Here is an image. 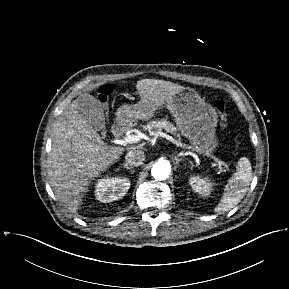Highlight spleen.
I'll list each match as a JSON object with an SVG mask.
<instances>
[{
	"instance_id": "obj_1",
	"label": "spleen",
	"mask_w": 289,
	"mask_h": 289,
	"mask_svg": "<svg viewBox=\"0 0 289 289\" xmlns=\"http://www.w3.org/2000/svg\"><path fill=\"white\" fill-rule=\"evenodd\" d=\"M252 180V168L250 161L242 157L238 161L236 172L228 180L223 196L214 209L217 213H223L234 208L245 196Z\"/></svg>"
}]
</instances>
